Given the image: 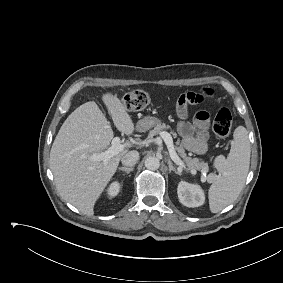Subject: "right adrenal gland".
I'll use <instances>...</instances> for the list:
<instances>
[{
	"label": "right adrenal gland",
	"instance_id": "obj_1",
	"mask_svg": "<svg viewBox=\"0 0 283 283\" xmlns=\"http://www.w3.org/2000/svg\"><path fill=\"white\" fill-rule=\"evenodd\" d=\"M133 167H120L119 170L122 172H125L127 174H129L131 171H133Z\"/></svg>",
	"mask_w": 283,
	"mask_h": 283
}]
</instances>
